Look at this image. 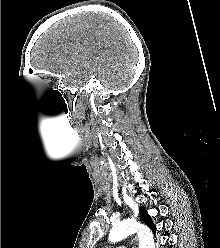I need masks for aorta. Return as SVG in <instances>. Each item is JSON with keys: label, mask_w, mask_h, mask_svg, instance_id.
Returning <instances> with one entry per match:
<instances>
[{"label": "aorta", "mask_w": 220, "mask_h": 248, "mask_svg": "<svg viewBox=\"0 0 220 248\" xmlns=\"http://www.w3.org/2000/svg\"><path fill=\"white\" fill-rule=\"evenodd\" d=\"M137 233L139 248H155V242L151 230L135 220H123L113 226L109 233V240L113 243Z\"/></svg>", "instance_id": "762f6f07"}]
</instances>
